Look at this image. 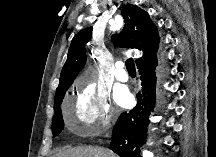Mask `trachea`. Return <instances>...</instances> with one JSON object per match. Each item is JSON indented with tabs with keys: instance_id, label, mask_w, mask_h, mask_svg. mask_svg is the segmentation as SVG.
<instances>
[{
	"instance_id": "3493384b",
	"label": "trachea",
	"mask_w": 216,
	"mask_h": 157,
	"mask_svg": "<svg viewBox=\"0 0 216 157\" xmlns=\"http://www.w3.org/2000/svg\"><path fill=\"white\" fill-rule=\"evenodd\" d=\"M126 68H127L129 73H131V74L136 73L134 60L132 58H129L126 60Z\"/></svg>"
}]
</instances>
